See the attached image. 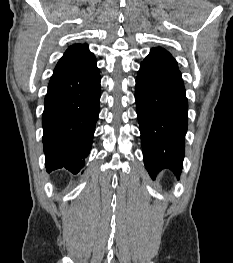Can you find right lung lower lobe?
<instances>
[{
  "label": "right lung lower lobe",
  "instance_id": "right-lung-lower-lobe-1",
  "mask_svg": "<svg viewBox=\"0 0 233 263\" xmlns=\"http://www.w3.org/2000/svg\"><path fill=\"white\" fill-rule=\"evenodd\" d=\"M100 74L96 62L80 73H53L42 115L46 170L84 166L99 114Z\"/></svg>",
  "mask_w": 233,
  "mask_h": 263
}]
</instances>
